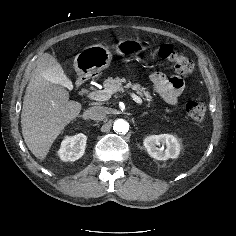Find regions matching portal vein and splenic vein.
I'll return each mask as SVG.
<instances>
[{
    "mask_svg": "<svg viewBox=\"0 0 236 236\" xmlns=\"http://www.w3.org/2000/svg\"><path fill=\"white\" fill-rule=\"evenodd\" d=\"M130 96L132 97V99L138 103V104H142V99L137 96L136 94L134 93H130ZM87 98L91 99V100H96V101H106V100H109L110 99V95L109 94H106L104 91H94V92H90L88 95H87Z\"/></svg>",
    "mask_w": 236,
    "mask_h": 236,
    "instance_id": "portal-vein-and-splenic-vein-1",
    "label": "portal vein and splenic vein"
}]
</instances>
